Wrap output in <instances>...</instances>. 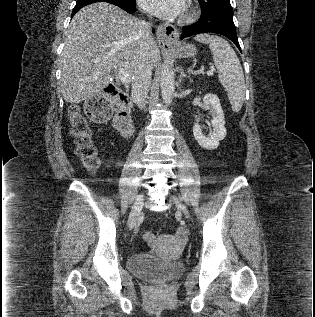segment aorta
<instances>
[{
  "label": "aorta",
  "mask_w": 315,
  "mask_h": 317,
  "mask_svg": "<svg viewBox=\"0 0 315 317\" xmlns=\"http://www.w3.org/2000/svg\"><path fill=\"white\" fill-rule=\"evenodd\" d=\"M160 88L164 102L170 104L175 94L174 72L167 64H164L160 73Z\"/></svg>",
  "instance_id": "aorta-1"
}]
</instances>
